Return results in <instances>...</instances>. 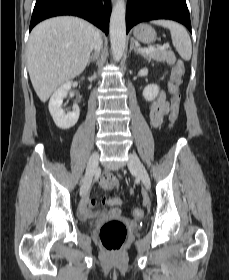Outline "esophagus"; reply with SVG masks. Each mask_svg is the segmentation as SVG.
Here are the masks:
<instances>
[{
    "instance_id": "34e87169",
    "label": "esophagus",
    "mask_w": 229,
    "mask_h": 280,
    "mask_svg": "<svg viewBox=\"0 0 229 280\" xmlns=\"http://www.w3.org/2000/svg\"><path fill=\"white\" fill-rule=\"evenodd\" d=\"M112 1V3H115L116 2V0H111Z\"/></svg>"
}]
</instances>
